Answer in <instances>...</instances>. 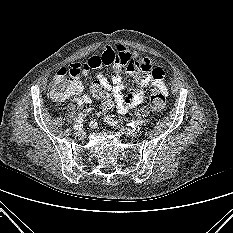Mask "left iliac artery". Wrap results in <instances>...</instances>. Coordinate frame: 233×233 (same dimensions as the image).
Segmentation results:
<instances>
[{"instance_id":"44dca946","label":"left iliac artery","mask_w":233,"mask_h":233,"mask_svg":"<svg viewBox=\"0 0 233 233\" xmlns=\"http://www.w3.org/2000/svg\"><path fill=\"white\" fill-rule=\"evenodd\" d=\"M105 120H106V122L108 124L113 125V126L117 125V123H118L117 121L113 120L109 116H107L105 118ZM142 123H143L142 121H133V122L129 123L127 126H130V127L134 128V129H139L140 126L142 125Z\"/></svg>"}]
</instances>
